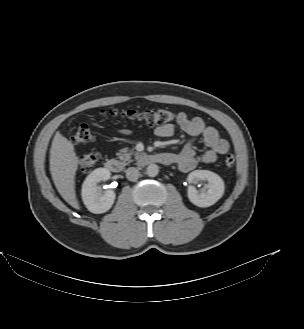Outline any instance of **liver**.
<instances>
[{"instance_id": "obj_1", "label": "liver", "mask_w": 304, "mask_h": 329, "mask_svg": "<svg viewBox=\"0 0 304 329\" xmlns=\"http://www.w3.org/2000/svg\"><path fill=\"white\" fill-rule=\"evenodd\" d=\"M49 161L52 180L59 194L69 205L79 209L75 193V175L79 161L74 145L60 132L53 138Z\"/></svg>"}]
</instances>
